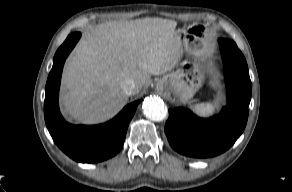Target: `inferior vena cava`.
Masks as SVG:
<instances>
[{
	"mask_svg": "<svg viewBox=\"0 0 292 192\" xmlns=\"http://www.w3.org/2000/svg\"><path fill=\"white\" fill-rule=\"evenodd\" d=\"M122 90L126 95H132L135 91V82L132 79H125L121 84Z\"/></svg>",
	"mask_w": 292,
	"mask_h": 192,
	"instance_id": "1",
	"label": "inferior vena cava"
}]
</instances>
